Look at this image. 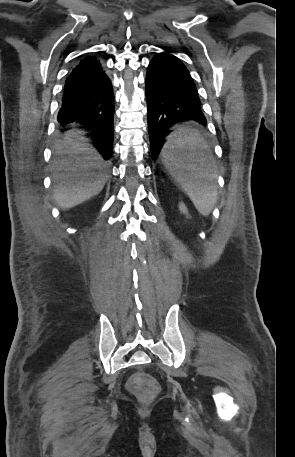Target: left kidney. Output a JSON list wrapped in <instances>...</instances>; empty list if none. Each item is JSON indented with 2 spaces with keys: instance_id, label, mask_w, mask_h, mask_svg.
Instances as JSON below:
<instances>
[{
  "instance_id": "left-kidney-1",
  "label": "left kidney",
  "mask_w": 295,
  "mask_h": 457,
  "mask_svg": "<svg viewBox=\"0 0 295 457\" xmlns=\"http://www.w3.org/2000/svg\"><path fill=\"white\" fill-rule=\"evenodd\" d=\"M179 210L183 213V214H188V210L186 208V206L183 204V203H180L179 204Z\"/></svg>"
}]
</instances>
